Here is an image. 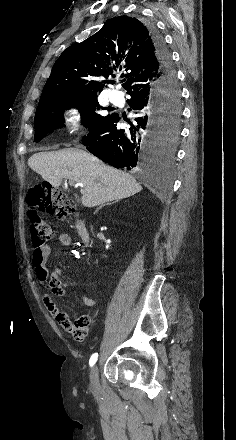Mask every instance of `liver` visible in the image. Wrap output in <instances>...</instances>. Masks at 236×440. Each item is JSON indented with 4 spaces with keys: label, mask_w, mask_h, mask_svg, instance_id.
I'll list each match as a JSON object with an SVG mask.
<instances>
[{
    "label": "liver",
    "mask_w": 236,
    "mask_h": 440,
    "mask_svg": "<svg viewBox=\"0 0 236 440\" xmlns=\"http://www.w3.org/2000/svg\"><path fill=\"white\" fill-rule=\"evenodd\" d=\"M28 166L54 187H59L63 179L79 183L85 207L128 198L142 190L133 176L105 165L81 149L35 153Z\"/></svg>",
    "instance_id": "1"
}]
</instances>
